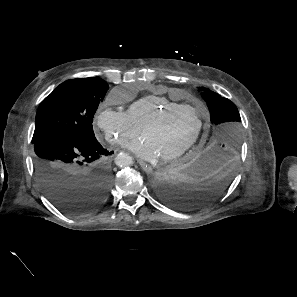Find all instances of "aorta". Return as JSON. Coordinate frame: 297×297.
Returning <instances> with one entry per match:
<instances>
[{
  "mask_svg": "<svg viewBox=\"0 0 297 297\" xmlns=\"http://www.w3.org/2000/svg\"><path fill=\"white\" fill-rule=\"evenodd\" d=\"M115 163L119 167H125L133 163V159L126 153H119L115 158Z\"/></svg>",
  "mask_w": 297,
  "mask_h": 297,
  "instance_id": "aorta-1",
  "label": "aorta"
}]
</instances>
